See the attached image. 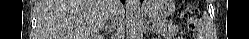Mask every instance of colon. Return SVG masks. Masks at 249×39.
Instances as JSON below:
<instances>
[{"label": "colon", "instance_id": "colon-1", "mask_svg": "<svg viewBox=\"0 0 249 39\" xmlns=\"http://www.w3.org/2000/svg\"><path fill=\"white\" fill-rule=\"evenodd\" d=\"M186 16H187L188 21H189L190 24L192 25V28L194 29V28H195V25H194V18H195V16H196V9H194V8H189V9H187V11H186Z\"/></svg>", "mask_w": 249, "mask_h": 39}]
</instances>
